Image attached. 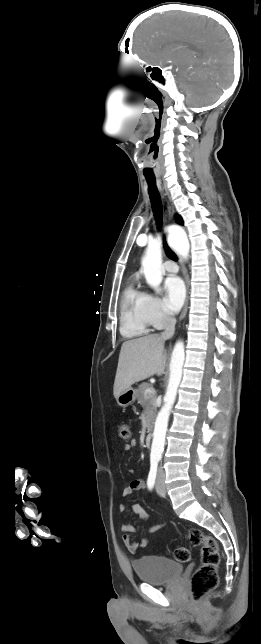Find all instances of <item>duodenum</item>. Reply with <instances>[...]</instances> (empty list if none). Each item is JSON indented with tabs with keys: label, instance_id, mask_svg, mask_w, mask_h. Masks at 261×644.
<instances>
[{
	"label": "duodenum",
	"instance_id": "1",
	"mask_svg": "<svg viewBox=\"0 0 261 644\" xmlns=\"http://www.w3.org/2000/svg\"><path fill=\"white\" fill-rule=\"evenodd\" d=\"M152 440H153V434H152V433H148V434L145 436V439H144V444H145V446H146V447H150V446H151V444H152Z\"/></svg>",
	"mask_w": 261,
	"mask_h": 644
}]
</instances>
